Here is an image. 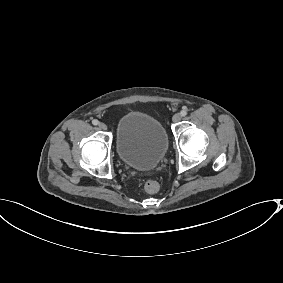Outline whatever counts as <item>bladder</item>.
Returning <instances> with one entry per match:
<instances>
[{"label": "bladder", "instance_id": "obj_1", "mask_svg": "<svg viewBox=\"0 0 283 283\" xmlns=\"http://www.w3.org/2000/svg\"><path fill=\"white\" fill-rule=\"evenodd\" d=\"M116 150L121 161L134 169L155 168L168 147L163 124L151 115L130 111L115 127Z\"/></svg>", "mask_w": 283, "mask_h": 283}]
</instances>
